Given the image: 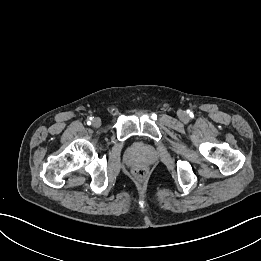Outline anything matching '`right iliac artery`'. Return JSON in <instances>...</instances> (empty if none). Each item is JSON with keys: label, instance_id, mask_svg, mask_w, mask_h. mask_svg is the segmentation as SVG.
<instances>
[{"label": "right iliac artery", "instance_id": "1", "mask_svg": "<svg viewBox=\"0 0 261 261\" xmlns=\"http://www.w3.org/2000/svg\"><path fill=\"white\" fill-rule=\"evenodd\" d=\"M90 120H92V117L89 118V121L87 122V124H91Z\"/></svg>", "mask_w": 261, "mask_h": 261}]
</instances>
